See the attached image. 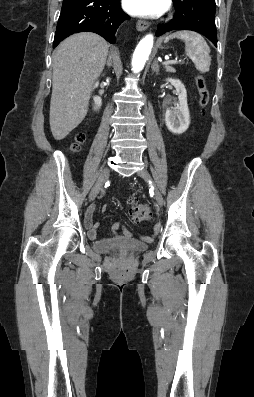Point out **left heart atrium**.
Wrapping results in <instances>:
<instances>
[{"label": "left heart atrium", "mask_w": 254, "mask_h": 397, "mask_svg": "<svg viewBox=\"0 0 254 397\" xmlns=\"http://www.w3.org/2000/svg\"><path fill=\"white\" fill-rule=\"evenodd\" d=\"M122 4L132 15L154 17L167 9L168 0H122Z\"/></svg>", "instance_id": "39dd6f15"}]
</instances>
